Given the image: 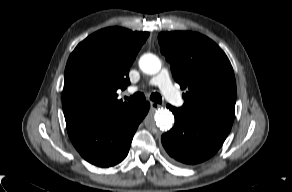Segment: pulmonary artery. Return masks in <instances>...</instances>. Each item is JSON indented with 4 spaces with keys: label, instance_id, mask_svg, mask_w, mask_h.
<instances>
[{
    "label": "pulmonary artery",
    "instance_id": "obj_1",
    "mask_svg": "<svg viewBox=\"0 0 292 192\" xmlns=\"http://www.w3.org/2000/svg\"><path fill=\"white\" fill-rule=\"evenodd\" d=\"M150 85L157 86L163 93L164 97L173 105L180 106L183 100L176 89L173 87L170 79V75L167 69H162L155 77L149 81ZM138 90L137 86L129 88V92H135Z\"/></svg>",
    "mask_w": 292,
    "mask_h": 192
}]
</instances>
